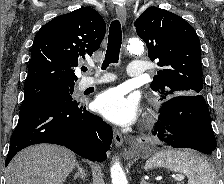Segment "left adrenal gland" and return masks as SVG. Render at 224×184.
Returning a JSON list of instances; mask_svg holds the SVG:
<instances>
[{
	"label": "left adrenal gland",
	"mask_w": 224,
	"mask_h": 184,
	"mask_svg": "<svg viewBox=\"0 0 224 184\" xmlns=\"http://www.w3.org/2000/svg\"><path fill=\"white\" fill-rule=\"evenodd\" d=\"M140 184H149V183H147V182L144 180V178H141V182H140Z\"/></svg>",
	"instance_id": "obj_1"
}]
</instances>
